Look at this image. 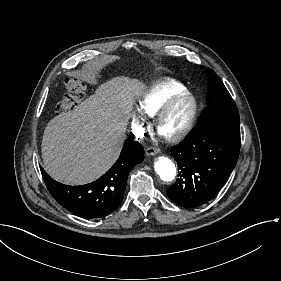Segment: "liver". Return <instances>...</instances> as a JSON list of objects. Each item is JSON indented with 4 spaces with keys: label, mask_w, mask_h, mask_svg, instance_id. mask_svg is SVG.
<instances>
[{
    "label": "liver",
    "mask_w": 281,
    "mask_h": 281,
    "mask_svg": "<svg viewBox=\"0 0 281 281\" xmlns=\"http://www.w3.org/2000/svg\"><path fill=\"white\" fill-rule=\"evenodd\" d=\"M147 95L145 82L117 76L72 111L53 117L41 141L45 171L65 183L96 180L119 158L134 105Z\"/></svg>",
    "instance_id": "1"
}]
</instances>
